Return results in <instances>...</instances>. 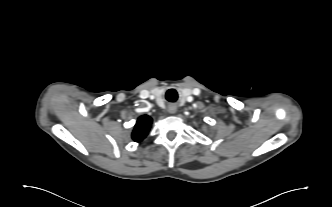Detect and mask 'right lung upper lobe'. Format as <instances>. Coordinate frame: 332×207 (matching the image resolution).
I'll return each instance as SVG.
<instances>
[{
  "label": "right lung upper lobe",
  "mask_w": 332,
  "mask_h": 207,
  "mask_svg": "<svg viewBox=\"0 0 332 207\" xmlns=\"http://www.w3.org/2000/svg\"><path fill=\"white\" fill-rule=\"evenodd\" d=\"M151 124V117L147 115L140 116L132 132V139L135 142H141L147 136Z\"/></svg>",
  "instance_id": "right-lung-upper-lobe-1"
}]
</instances>
